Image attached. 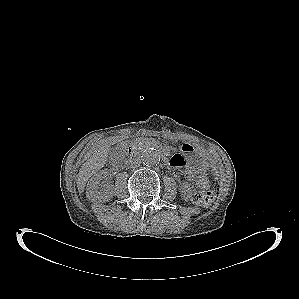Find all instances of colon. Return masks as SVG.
Masks as SVG:
<instances>
[{"instance_id":"1","label":"colon","mask_w":299,"mask_h":299,"mask_svg":"<svg viewBox=\"0 0 299 299\" xmlns=\"http://www.w3.org/2000/svg\"><path fill=\"white\" fill-rule=\"evenodd\" d=\"M196 183L200 187L192 195V201L202 207L209 206L214 200V193L209 189V178L205 173L196 177Z\"/></svg>"}]
</instances>
